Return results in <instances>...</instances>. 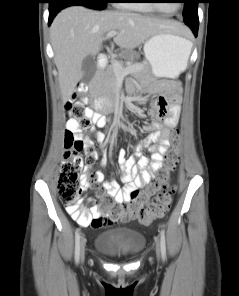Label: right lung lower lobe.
I'll return each instance as SVG.
<instances>
[{
  "label": "right lung lower lobe",
  "mask_w": 239,
  "mask_h": 296,
  "mask_svg": "<svg viewBox=\"0 0 239 296\" xmlns=\"http://www.w3.org/2000/svg\"><path fill=\"white\" fill-rule=\"evenodd\" d=\"M67 3L64 0H54L49 5V22L48 25L51 24L52 20L56 16V14L62 10L63 8L67 7Z\"/></svg>",
  "instance_id": "98d812e1"
}]
</instances>
